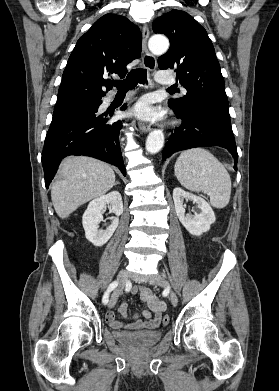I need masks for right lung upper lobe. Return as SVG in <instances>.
I'll return each instance as SVG.
<instances>
[{
  "label": "right lung upper lobe",
  "instance_id": "right-lung-upper-lobe-1",
  "mask_svg": "<svg viewBox=\"0 0 279 391\" xmlns=\"http://www.w3.org/2000/svg\"><path fill=\"white\" fill-rule=\"evenodd\" d=\"M142 35L127 18L106 14L77 41L63 72L55 109L101 100L112 87L106 77H124L141 54ZM107 89L105 92L104 89Z\"/></svg>",
  "mask_w": 279,
  "mask_h": 391
}]
</instances>
